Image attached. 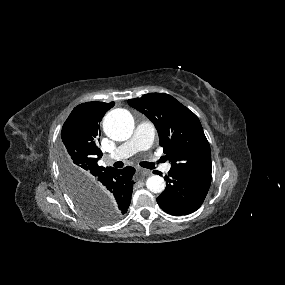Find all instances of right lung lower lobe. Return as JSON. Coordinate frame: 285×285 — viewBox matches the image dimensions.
<instances>
[{
  "label": "right lung lower lobe",
  "mask_w": 285,
  "mask_h": 285,
  "mask_svg": "<svg viewBox=\"0 0 285 285\" xmlns=\"http://www.w3.org/2000/svg\"><path fill=\"white\" fill-rule=\"evenodd\" d=\"M134 172L135 169L130 166L123 169H109L97 176L89 187L122 216L127 212L131 202Z\"/></svg>",
  "instance_id": "98d812e1"
}]
</instances>
